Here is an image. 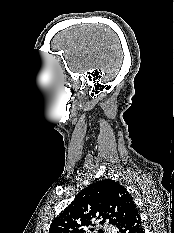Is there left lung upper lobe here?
I'll use <instances>...</instances> for the list:
<instances>
[{
	"label": "left lung upper lobe",
	"instance_id": "5c2ea615",
	"mask_svg": "<svg viewBox=\"0 0 174 233\" xmlns=\"http://www.w3.org/2000/svg\"><path fill=\"white\" fill-rule=\"evenodd\" d=\"M137 211L127 190L114 180L105 179L80 191L74 201L52 221L49 233H85L87 227L95 226V220L100 224L108 220L118 228Z\"/></svg>",
	"mask_w": 174,
	"mask_h": 233
}]
</instances>
